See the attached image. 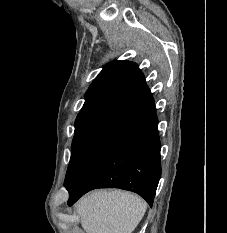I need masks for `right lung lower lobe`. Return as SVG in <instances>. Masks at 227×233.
<instances>
[{
    "label": "right lung lower lobe",
    "mask_w": 227,
    "mask_h": 233,
    "mask_svg": "<svg viewBox=\"0 0 227 233\" xmlns=\"http://www.w3.org/2000/svg\"><path fill=\"white\" fill-rule=\"evenodd\" d=\"M156 115L116 137L69 189L68 205L95 188H120L153 204L161 176Z\"/></svg>",
    "instance_id": "obj_1"
}]
</instances>
